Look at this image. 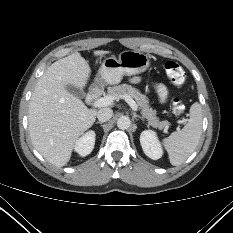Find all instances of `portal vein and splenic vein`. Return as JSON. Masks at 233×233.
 Listing matches in <instances>:
<instances>
[{"instance_id": "1", "label": "portal vein and splenic vein", "mask_w": 233, "mask_h": 233, "mask_svg": "<svg viewBox=\"0 0 233 233\" xmlns=\"http://www.w3.org/2000/svg\"><path fill=\"white\" fill-rule=\"evenodd\" d=\"M119 98L124 99L134 111L137 110V104L131 96H129L127 94H123V95H120ZM115 99L116 98L113 96H105V97H102V98L96 100L93 103V106L98 107V108L104 107V106H110L113 104Z\"/></svg>"}]
</instances>
